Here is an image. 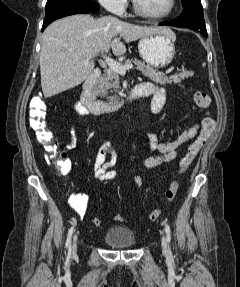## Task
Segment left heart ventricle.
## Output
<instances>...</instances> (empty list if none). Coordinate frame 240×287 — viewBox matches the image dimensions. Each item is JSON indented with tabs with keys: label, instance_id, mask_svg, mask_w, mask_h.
<instances>
[{
	"label": "left heart ventricle",
	"instance_id": "obj_1",
	"mask_svg": "<svg viewBox=\"0 0 240 287\" xmlns=\"http://www.w3.org/2000/svg\"><path fill=\"white\" fill-rule=\"evenodd\" d=\"M139 5L154 14L164 12L169 5V0H137Z\"/></svg>",
	"mask_w": 240,
	"mask_h": 287
}]
</instances>
